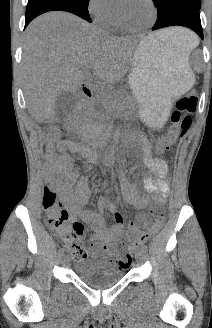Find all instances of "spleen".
Returning <instances> with one entry per match:
<instances>
[{
	"label": "spleen",
	"instance_id": "spleen-1",
	"mask_svg": "<svg viewBox=\"0 0 212 328\" xmlns=\"http://www.w3.org/2000/svg\"><path fill=\"white\" fill-rule=\"evenodd\" d=\"M180 29L182 31V35L179 38L180 48L189 57L191 51L198 46L199 40L191 31L182 28Z\"/></svg>",
	"mask_w": 212,
	"mask_h": 328
}]
</instances>
